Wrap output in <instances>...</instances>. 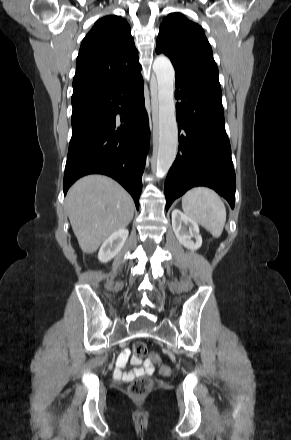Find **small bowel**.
<instances>
[{"instance_id": "small-bowel-1", "label": "small bowel", "mask_w": 291, "mask_h": 440, "mask_svg": "<svg viewBox=\"0 0 291 440\" xmlns=\"http://www.w3.org/2000/svg\"><path fill=\"white\" fill-rule=\"evenodd\" d=\"M129 357H130L129 349L124 350L123 353L118 357L116 364V371H115V375L117 377L123 379H130L135 376L150 375L154 372V365L150 360L142 361L140 359H135V358H131L130 361L137 367L130 371H123L126 364L129 361Z\"/></svg>"}]
</instances>
